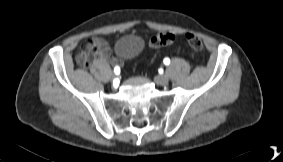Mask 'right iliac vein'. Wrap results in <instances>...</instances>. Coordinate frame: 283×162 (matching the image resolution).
I'll use <instances>...</instances> for the list:
<instances>
[{
  "mask_svg": "<svg viewBox=\"0 0 283 162\" xmlns=\"http://www.w3.org/2000/svg\"><path fill=\"white\" fill-rule=\"evenodd\" d=\"M115 78H117V75L115 73H112L111 74V79H115Z\"/></svg>",
  "mask_w": 283,
  "mask_h": 162,
  "instance_id": "1",
  "label": "right iliac vein"
}]
</instances>
